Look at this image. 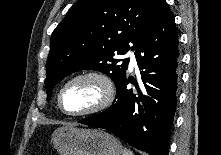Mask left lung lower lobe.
<instances>
[{
	"mask_svg": "<svg viewBox=\"0 0 221 155\" xmlns=\"http://www.w3.org/2000/svg\"><path fill=\"white\" fill-rule=\"evenodd\" d=\"M135 49L141 80L125 76L117 85L115 103L79 123L109 130L150 155H168L177 102L179 51L174 16L166 2ZM128 81L136 89H127Z\"/></svg>",
	"mask_w": 221,
	"mask_h": 155,
	"instance_id": "obj_1",
	"label": "left lung lower lobe"
}]
</instances>
